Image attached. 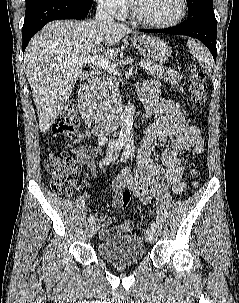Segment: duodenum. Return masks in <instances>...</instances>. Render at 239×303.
Here are the masks:
<instances>
[{"instance_id": "obj_1", "label": "duodenum", "mask_w": 239, "mask_h": 303, "mask_svg": "<svg viewBox=\"0 0 239 303\" xmlns=\"http://www.w3.org/2000/svg\"><path fill=\"white\" fill-rule=\"evenodd\" d=\"M99 74L90 72L79 89L78 105L86 125L98 135H107L118 127L119 114L115 111L97 114L93 108V94L98 83ZM151 113L150 108H143L138 120L143 121Z\"/></svg>"}]
</instances>
